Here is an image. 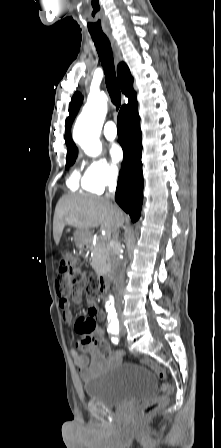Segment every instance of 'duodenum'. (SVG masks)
Listing matches in <instances>:
<instances>
[{
  "label": "duodenum",
  "mask_w": 221,
  "mask_h": 448,
  "mask_svg": "<svg viewBox=\"0 0 221 448\" xmlns=\"http://www.w3.org/2000/svg\"><path fill=\"white\" fill-rule=\"evenodd\" d=\"M97 280H98V287L99 290L102 294H106L107 289H108V278H107V274L105 273H100L97 275Z\"/></svg>",
  "instance_id": "1"
}]
</instances>
